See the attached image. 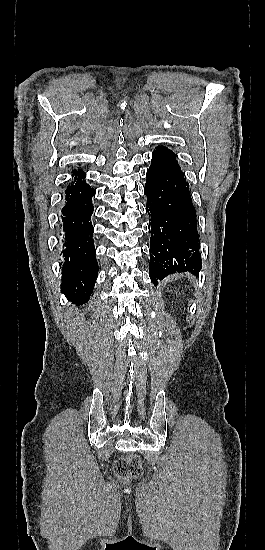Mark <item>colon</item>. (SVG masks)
Here are the masks:
<instances>
[{
	"mask_svg": "<svg viewBox=\"0 0 265 550\" xmlns=\"http://www.w3.org/2000/svg\"><path fill=\"white\" fill-rule=\"evenodd\" d=\"M115 475L122 480L138 478L143 473L141 460L136 455L118 459L113 466Z\"/></svg>",
	"mask_w": 265,
	"mask_h": 550,
	"instance_id": "obj_1",
	"label": "colon"
}]
</instances>
